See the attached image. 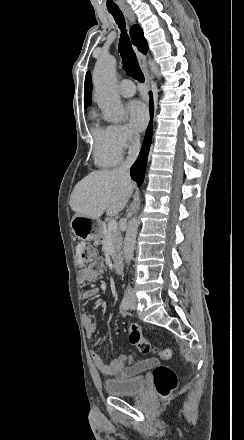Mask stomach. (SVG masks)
Returning <instances> with one entry per match:
<instances>
[{
  "mask_svg": "<svg viewBox=\"0 0 244 440\" xmlns=\"http://www.w3.org/2000/svg\"><path fill=\"white\" fill-rule=\"evenodd\" d=\"M70 228L73 236L77 240H82V242L96 240L102 232L100 220H93V218H87V216H81V214H74L70 222Z\"/></svg>",
  "mask_w": 244,
  "mask_h": 440,
  "instance_id": "1",
  "label": "stomach"
}]
</instances>
